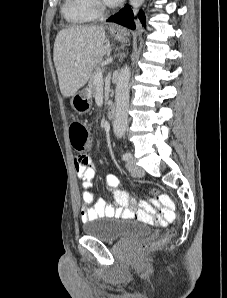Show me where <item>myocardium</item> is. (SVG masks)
<instances>
[{
  "label": "myocardium",
  "instance_id": "1",
  "mask_svg": "<svg viewBox=\"0 0 227 298\" xmlns=\"http://www.w3.org/2000/svg\"><path fill=\"white\" fill-rule=\"evenodd\" d=\"M95 8L98 12L104 13L106 11L105 6L101 2V0H94Z\"/></svg>",
  "mask_w": 227,
  "mask_h": 298
}]
</instances>
